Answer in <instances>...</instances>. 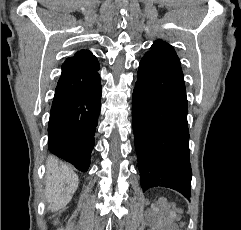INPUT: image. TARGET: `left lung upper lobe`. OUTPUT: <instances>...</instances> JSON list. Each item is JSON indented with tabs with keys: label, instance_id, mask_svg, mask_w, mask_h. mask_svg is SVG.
<instances>
[{
	"label": "left lung upper lobe",
	"instance_id": "left-lung-upper-lobe-1",
	"mask_svg": "<svg viewBox=\"0 0 241 230\" xmlns=\"http://www.w3.org/2000/svg\"><path fill=\"white\" fill-rule=\"evenodd\" d=\"M147 54H152L158 57H161L167 61H170L176 65L180 66V60L175 53V50L171 45L162 40H157L151 46V50Z\"/></svg>",
	"mask_w": 241,
	"mask_h": 230
}]
</instances>
